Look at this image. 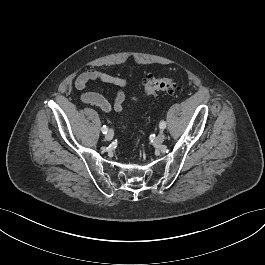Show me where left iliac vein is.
Segmentation results:
<instances>
[{"mask_svg": "<svg viewBox=\"0 0 265 265\" xmlns=\"http://www.w3.org/2000/svg\"><path fill=\"white\" fill-rule=\"evenodd\" d=\"M165 140V133L161 131L154 140V145H161Z\"/></svg>", "mask_w": 265, "mask_h": 265, "instance_id": "4c4485c4", "label": "left iliac vein"}]
</instances>
